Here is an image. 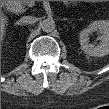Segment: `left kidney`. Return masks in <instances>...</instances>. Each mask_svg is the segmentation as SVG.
Returning <instances> with one entry per match:
<instances>
[{"instance_id": "left-kidney-1", "label": "left kidney", "mask_w": 109, "mask_h": 109, "mask_svg": "<svg viewBox=\"0 0 109 109\" xmlns=\"http://www.w3.org/2000/svg\"><path fill=\"white\" fill-rule=\"evenodd\" d=\"M98 31L101 43L97 46L89 44L88 37L92 32ZM81 49L90 56L103 57L109 54V23L105 20L94 21L79 34Z\"/></svg>"}]
</instances>
